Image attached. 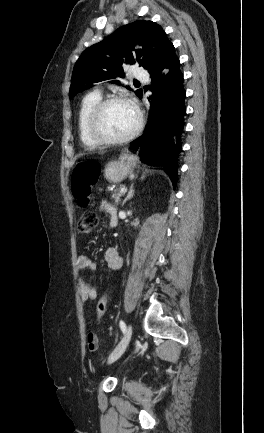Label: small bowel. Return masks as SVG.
<instances>
[{
	"label": "small bowel",
	"instance_id": "small-bowel-1",
	"mask_svg": "<svg viewBox=\"0 0 264 433\" xmlns=\"http://www.w3.org/2000/svg\"><path fill=\"white\" fill-rule=\"evenodd\" d=\"M101 211L109 216L110 225L115 226L117 223V212L115 207L106 200L100 203ZM105 262L110 269L118 270L123 265V258L120 256L116 248H109L104 254ZM77 265L80 270L94 271L96 269L95 263L86 255H80L77 260ZM80 299L83 305L96 299L97 289L85 282L79 280ZM87 347L91 352H94L99 347V338L93 332L87 335Z\"/></svg>",
	"mask_w": 264,
	"mask_h": 433
}]
</instances>
